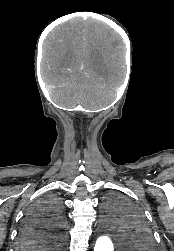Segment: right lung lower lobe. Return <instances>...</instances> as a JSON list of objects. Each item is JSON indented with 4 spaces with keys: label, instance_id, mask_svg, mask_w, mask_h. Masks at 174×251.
I'll list each match as a JSON object with an SVG mask.
<instances>
[{
    "label": "right lung lower lobe",
    "instance_id": "right-lung-lower-lobe-1",
    "mask_svg": "<svg viewBox=\"0 0 174 251\" xmlns=\"http://www.w3.org/2000/svg\"><path fill=\"white\" fill-rule=\"evenodd\" d=\"M50 233V229L41 224L24 222L20 231L17 244L18 251H37L41 249L31 248L39 246L45 236ZM59 241L57 244L59 245Z\"/></svg>",
    "mask_w": 174,
    "mask_h": 251
}]
</instances>
